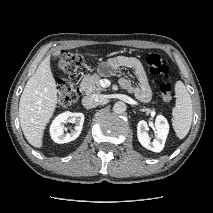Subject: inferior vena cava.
I'll use <instances>...</instances> for the list:
<instances>
[{
	"mask_svg": "<svg viewBox=\"0 0 213 213\" xmlns=\"http://www.w3.org/2000/svg\"><path fill=\"white\" fill-rule=\"evenodd\" d=\"M105 100H106L105 95L92 94V95L85 96L82 99V105L85 108L91 109V108H95L98 105L102 104Z\"/></svg>",
	"mask_w": 213,
	"mask_h": 213,
	"instance_id": "1",
	"label": "inferior vena cava"
}]
</instances>
